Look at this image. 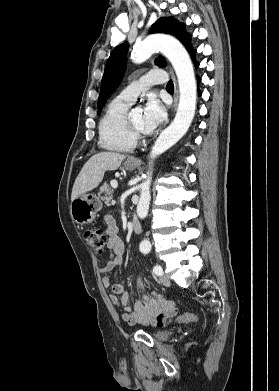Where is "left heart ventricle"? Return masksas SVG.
<instances>
[{"mask_svg":"<svg viewBox=\"0 0 279 391\" xmlns=\"http://www.w3.org/2000/svg\"><path fill=\"white\" fill-rule=\"evenodd\" d=\"M130 118L133 121L134 125L143 133H146L143 126V113L142 111H134L130 114Z\"/></svg>","mask_w":279,"mask_h":391,"instance_id":"1","label":"left heart ventricle"}]
</instances>
